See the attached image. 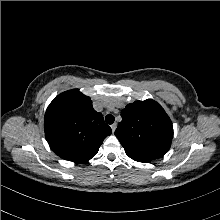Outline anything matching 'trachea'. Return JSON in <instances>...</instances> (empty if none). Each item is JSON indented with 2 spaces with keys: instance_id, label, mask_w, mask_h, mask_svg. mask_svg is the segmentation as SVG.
<instances>
[{
  "instance_id": "1",
  "label": "trachea",
  "mask_w": 220,
  "mask_h": 220,
  "mask_svg": "<svg viewBox=\"0 0 220 220\" xmlns=\"http://www.w3.org/2000/svg\"><path fill=\"white\" fill-rule=\"evenodd\" d=\"M105 121L107 124H113L114 121H115V118L113 115L111 114H108L106 117H105Z\"/></svg>"
}]
</instances>
